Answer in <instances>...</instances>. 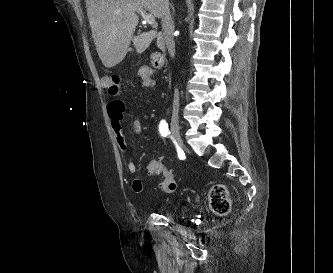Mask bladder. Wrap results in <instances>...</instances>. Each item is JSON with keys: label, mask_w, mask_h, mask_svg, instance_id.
Instances as JSON below:
<instances>
[{"label": "bladder", "mask_w": 333, "mask_h": 273, "mask_svg": "<svg viewBox=\"0 0 333 273\" xmlns=\"http://www.w3.org/2000/svg\"><path fill=\"white\" fill-rule=\"evenodd\" d=\"M181 211H184V207L181 208Z\"/></svg>", "instance_id": "obj_1"}]
</instances>
